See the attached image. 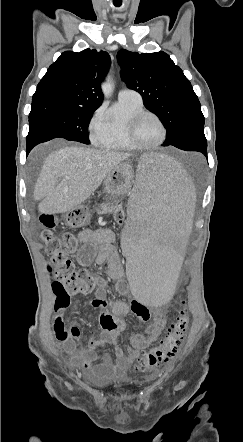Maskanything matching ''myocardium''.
I'll use <instances>...</instances> for the list:
<instances>
[{"label":"myocardium","instance_id":"1","mask_svg":"<svg viewBox=\"0 0 243 442\" xmlns=\"http://www.w3.org/2000/svg\"><path fill=\"white\" fill-rule=\"evenodd\" d=\"M146 116L154 117L158 121V123L160 124L161 129H162L161 139L153 145L142 144L138 141V139L136 137L137 125ZM167 135H168V130H167L166 124L164 123L163 119L157 113L150 111V110H143V111L138 112L130 119V121L128 123V127H127L128 140L136 149H141V150L157 149L165 142Z\"/></svg>","mask_w":243,"mask_h":442}]
</instances>
